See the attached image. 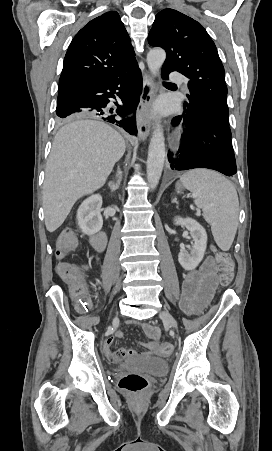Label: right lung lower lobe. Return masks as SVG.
<instances>
[{"label":"right lung lower lobe","mask_w":272,"mask_h":451,"mask_svg":"<svg viewBox=\"0 0 272 451\" xmlns=\"http://www.w3.org/2000/svg\"><path fill=\"white\" fill-rule=\"evenodd\" d=\"M142 89L141 71L137 62L113 75L110 79L88 83L59 92L57 99V122L75 119H100L112 123L134 135L136 120L126 115L134 112ZM119 97L124 105H117L116 115L105 112L107 104ZM112 113L113 111L110 110ZM118 116H121L119 118Z\"/></svg>","instance_id":"1"}]
</instances>
